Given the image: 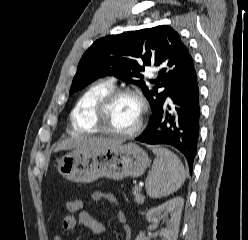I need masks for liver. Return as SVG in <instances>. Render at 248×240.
I'll list each match as a JSON object with an SVG mask.
<instances>
[{
  "mask_svg": "<svg viewBox=\"0 0 248 240\" xmlns=\"http://www.w3.org/2000/svg\"><path fill=\"white\" fill-rule=\"evenodd\" d=\"M120 144V141H115L112 139L82 136L64 140L56 147L55 151L75 149L85 152H96L110 147H115Z\"/></svg>",
  "mask_w": 248,
  "mask_h": 240,
  "instance_id": "liver-1",
  "label": "liver"
}]
</instances>
